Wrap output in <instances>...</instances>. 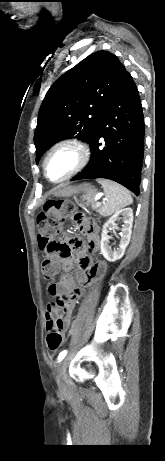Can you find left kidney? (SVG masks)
Returning a JSON list of instances; mask_svg holds the SVG:
<instances>
[{
	"label": "left kidney",
	"mask_w": 165,
	"mask_h": 461,
	"mask_svg": "<svg viewBox=\"0 0 165 461\" xmlns=\"http://www.w3.org/2000/svg\"><path fill=\"white\" fill-rule=\"evenodd\" d=\"M119 215L123 216V222L121 229V239L119 248L116 250H112L109 246V236H108V229H117V225L115 221L119 217ZM132 223H133V210L132 208H124L121 210L116 211L108 221L103 225V231L101 234V253L104 258L110 262H115L121 259L125 253L126 247L128 246L131 238L132 232Z\"/></svg>",
	"instance_id": "left-kidney-1"
}]
</instances>
